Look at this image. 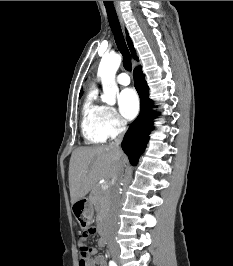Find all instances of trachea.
<instances>
[{
  "mask_svg": "<svg viewBox=\"0 0 233 266\" xmlns=\"http://www.w3.org/2000/svg\"><path fill=\"white\" fill-rule=\"evenodd\" d=\"M111 31L113 32L117 48L123 56V66L127 71L132 70L131 57L125 43L113 1H104Z\"/></svg>",
  "mask_w": 233,
  "mask_h": 266,
  "instance_id": "1",
  "label": "trachea"
}]
</instances>
